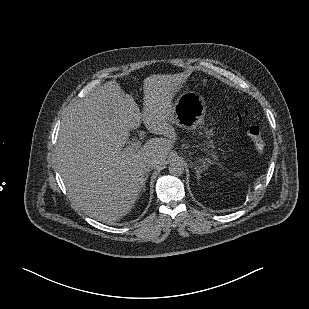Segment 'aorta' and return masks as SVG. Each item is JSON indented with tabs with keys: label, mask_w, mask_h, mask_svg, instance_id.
I'll return each mask as SVG.
<instances>
[{
	"label": "aorta",
	"mask_w": 309,
	"mask_h": 309,
	"mask_svg": "<svg viewBox=\"0 0 309 309\" xmlns=\"http://www.w3.org/2000/svg\"><path fill=\"white\" fill-rule=\"evenodd\" d=\"M185 165L182 159H176L169 165V173L180 176L184 173Z\"/></svg>",
	"instance_id": "762f6f07"
}]
</instances>
